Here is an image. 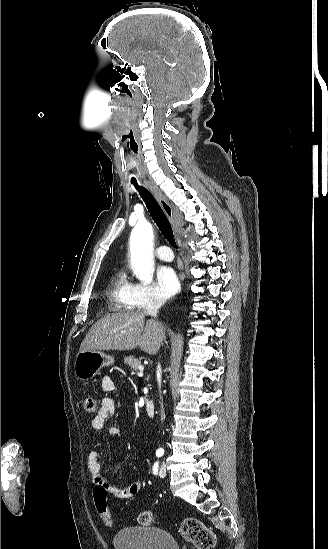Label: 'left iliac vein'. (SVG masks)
I'll use <instances>...</instances> for the list:
<instances>
[{
    "mask_svg": "<svg viewBox=\"0 0 328 549\" xmlns=\"http://www.w3.org/2000/svg\"><path fill=\"white\" fill-rule=\"evenodd\" d=\"M159 475L161 477H165L166 475V465L164 463L160 466Z\"/></svg>",
    "mask_w": 328,
    "mask_h": 549,
    "instance_id": "4c4485c4",
    "label": "left iliac vein"
}]
</instances>
